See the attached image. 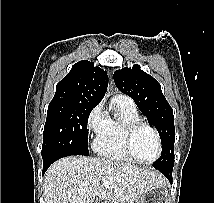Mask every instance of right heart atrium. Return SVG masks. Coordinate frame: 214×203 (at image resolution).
Masks as SVG:
<instances>
[{
	"label": "right heart atrium",
	"mask_w": 214,
	"mask_h": 203,
	"mask_svg": "<svg viewBox=\"0 0 214 203\" xmlns=\"http://www.w3.org/2000/svg\"><path fill=\"white\" fill-rule=\"evenodd\" d=\"M108 123V115L104 110L103 104L96 105L89 113L86 127L90 136L97 138L106 128Z\"/></svg>",
	"instance_id": "d8ad5b80"
}]
</instances>
